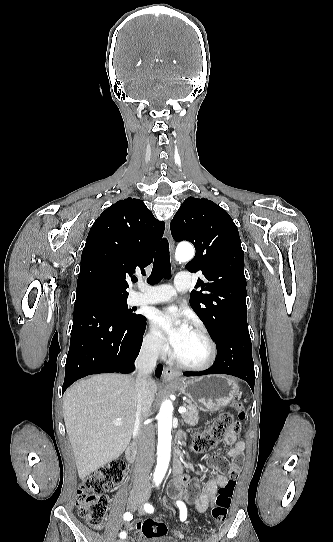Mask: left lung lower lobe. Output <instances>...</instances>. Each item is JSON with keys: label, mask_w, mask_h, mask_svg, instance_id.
<instances>
[{"label": "left lung lower lobe", "mask_w": 333, "mask_h": 542, "mask_svg": "<svg viewBox=\"0 0 333 542\" xmlns=\"http://www.w3.org/2000/svg\"><path fill=\"white\" fill-rule=\"evenodd\" d=\"M217 356L212 367L205 371L184 373L185 376L228 374L244 379L252 390L255 384L251 338L248 326L228 328L216 343Z\"/></svg>", "instance_id": "left-lung-lower-lobe-1"}]
</instances>
